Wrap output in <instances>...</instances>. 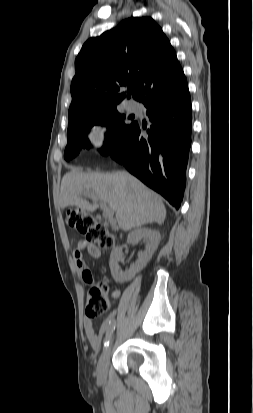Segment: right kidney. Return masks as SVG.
Wrapping results in <instances>:
<instances>
[{
    "label": "right kidney",
    "instance_id": "1",
    "mask_svg": "<svg viewBox=\"0 0 253 413\" xmlns=\"http://www.w3.org/2000/svg\"><path fill=\"white\" fill-rule=\"evenodd\" d=\"M140 239H144L147 244L143 253H140L135 264L130 266L128 271H122L119 267V261L122 258V249L116 248L111 252L109 266L112 277L119 282L129 281L141 271L152 258L153 253L158 247L160 233L156 230L146 228H137L128 234L127 243L134 244Z\"/></svg>",
    "mask_w": 253,
    "mask_h": 413
}]
</instances>
